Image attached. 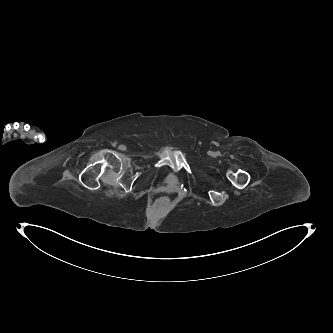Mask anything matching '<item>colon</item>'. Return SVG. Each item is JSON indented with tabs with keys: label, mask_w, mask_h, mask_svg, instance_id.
<instances>
[{
	"label": "colon",
	"mask_w": 333,
	"mask_h": 333,
	"mask_svg": "<svg viewBox=\"0 0 333 333\" xmlns=\"http://www.w3.org/2000/svg\"><path fill=\"white\" fill-rule=\"evenodd\" d=\"M170 204V200L167 196H161L155 200V207L158 209L167 208Z\"/></svg>",
	"instance_id": "obj_1"
}]
</instances>
